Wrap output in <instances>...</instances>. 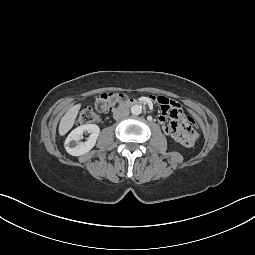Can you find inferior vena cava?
<instances>
[{
	"label": "inferior vena cava",
	"mask_w": 255,
	"mask_h": 255,
	"mask_svg": "<svg viewBox=\"0 0 255 255\" xmlns=\"http://www.w3.org/2000/svg\"><path fill=\"white\" fill-rule=\"evenodd\" d=\"M129 109L125 106H120L114 109L113 117L115 120L123 119L129 115Z\"/></svg>",
	"instance_id": "602c4592"
}]
</instances>
